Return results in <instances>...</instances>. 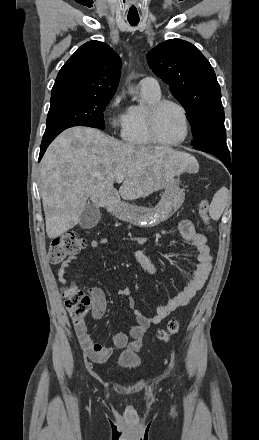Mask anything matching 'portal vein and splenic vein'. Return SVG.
<instances>
[{
	"label": "portal vein and splenic vein",
	"mask_w": 259,
	"mask_h": 440,
	"mask_svg": "<svg viewBox=\"0 0 259 440\" xmlns=\"http://www.w3.org/2000/svg\"><path fill=\"white\" fill-rule=\"evenodd\" d=\"M123 180H124V176H123L122 174H120V175L117 176L116 181H117L118 183H122Z\"/></svg>",
	"instance_id": "18ae733b"
}]
</instances>
